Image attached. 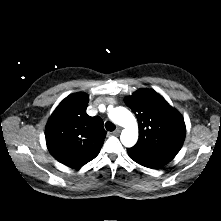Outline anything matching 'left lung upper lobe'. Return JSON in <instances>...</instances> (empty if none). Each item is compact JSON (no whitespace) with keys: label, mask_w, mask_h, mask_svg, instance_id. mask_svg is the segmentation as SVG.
Wrapping results in <instances>:
<instances>
[{"label":"left lung upper lobe","mask_w":221,"mask_h":221,"mask_svg":"<svg viewBox=\"0 0 221 221\" xmlns=\"http://www.w3.org/2000/svg\"><path fill=\"white\" fill-rule=\"evenodd\" d=\"M139 122V140L127 149L131 158L171 161L180 151L186 127L181 114L154 90L140 89L125 98Z\"/></svg>","instance_id":"1"}]
</instances>
